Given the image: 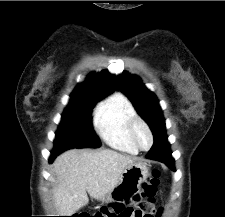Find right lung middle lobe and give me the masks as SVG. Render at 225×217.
<instances>
[{
  "label": "right lung middle lobe",
  "instance_id": "right-lung-middle-lobe-1",
  "mask_svg": "<svg viewBox=\"0 0 225 217\" xmlns=\"http://www.w3.org/2000/svg\"><path fill=\"white\" fill-rule=\"evenodd\" d=\"M100 99L87 96L71 98L62 114L53 151L61 153L70 148H97L101 145L91 124L92 109Z\"/></svg>",
  "mask_w": 225,
  "mask_h": 217
}]
</instances>
